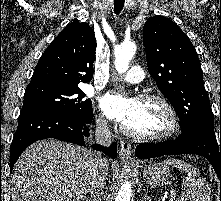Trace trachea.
Returning a JSON list of instances; mask_svg holds the SVG:
<instances>
[{"mask_svg":"<svg viewBox=\"0 0 221 201\" xmlns=\"http://www.w3.org/2000/svg\"><path fill=\"white\" fill-rule=\"evenodd\" d=\"M125 0H114V11L118 14L124 7Z\"/></svg>","mask_w":221,"mask_h":201,"instance_id":"1","label":"trachea"}]
</instances>
